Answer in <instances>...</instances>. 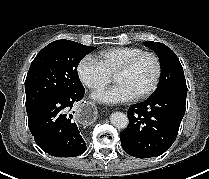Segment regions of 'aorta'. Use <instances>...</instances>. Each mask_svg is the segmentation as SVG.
Instances as JSON below:
<instances>
[{"label": "aorta", "mask_w": 209, "mask_h": 179, "mask_svg": "<svg viewBox=\"0 0 209 179\" xmlns=\"http://www.w3.org/2000/svg\"><path fill=\"white\" fill-rule=\"evenodd\" d=\"M111 123L119 129H124L128 126L129 120L127 115L122 112H114L110 116Z\"/></svg>", "instance_id": "1"}]
</instances>
